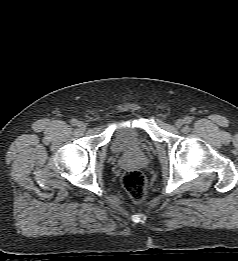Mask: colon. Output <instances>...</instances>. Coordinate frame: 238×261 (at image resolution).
I'll return each mask as SVG.
<instances>
[{
    "label": "colon",
    "mask_w": 238,
    "mask_h": 261,
    "mask_svg": "<svg viewBox=\"0 0 238 261\" xmlns=\"http://www.w3.org/2000/svg\"><path fill=\"white\" fill-rule=\"evenodd\" d=\"M122 185L135 203H140L146 195V180L139 170H129L122 178Z\"/></svg>",
    "instance_id": "colon-1"
}]
</instances>
